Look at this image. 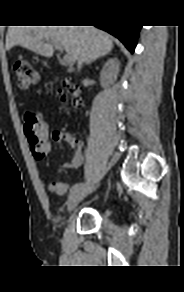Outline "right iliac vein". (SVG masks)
<instances>
[{"label":"right iliac vein","mask_w":184,"mask_h":292,"mask_svg":"<svg viewBox=\"0 0 184 292\" xmlns=\"http://www.w3.org/2000/svg\"><path fill=\"white\" fill-rule=\"evenodd\" d=\"M97 186H92L78 190L70 195L67 201L68 211H72L87 195L95 191Z\"/></svg>","instance_id":"obj_1"}]
</instances>
